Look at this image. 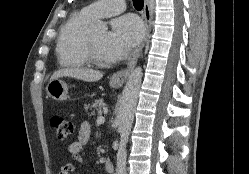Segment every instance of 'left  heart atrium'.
<instances>
[{
  "instance_id": "left-heart-atrium-1",
  "label": "left heart atrium",
  "mask_w": 249,
  "mask_h": 174,
  "mask_svg": "<svg viewBox=\"0 0 249 174\" xmlns=\"http://www.w3.org/2000/svg\"><path fill=\"white\" fill-rule=\"evenodd\" d=\"M142 34V24L135 16L126 15L116 19L106 40L110 60L117 61L124 57L141 40Z\"/></svg>"
}]
</instances>
